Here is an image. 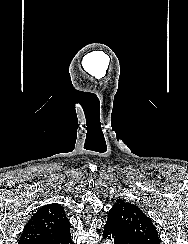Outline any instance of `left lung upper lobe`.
Masks as SVG:
<instances>
[{"mask_svg":"<svg viewBox=\"0 0 188 244\" xmlns=\"http://www.w3.org/2000/svg\"><path fill=\"white\" fill-rule=\"evenodd\" d=\"M109 213L117 217L125 231L134 240L141 244H160L155 225L137 205L118 199Z\"/></svg>","mask_w":188,"mask_h":244,"instance_id":"1","label":"left lung upper lobe"}]
</instances>
